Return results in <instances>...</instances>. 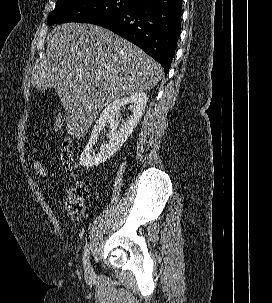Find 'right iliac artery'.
<instances>
[{"label": "right iliac artery", "instance_id": "1", "mask_svg": "<svg viewBox=\"0 0 272 303\" xmlns=\"http://www.w3.org/2000/svg\"><path fill=\"white\" fill-rule=\"evenodd\" d=\"M89 253H90V246L88 243H86L85 247H84V252H83V264L84 267H86L87 262L89 260Z\"/></svg>", "mask_w": 272, "mask_h": 303}]
</instances>
